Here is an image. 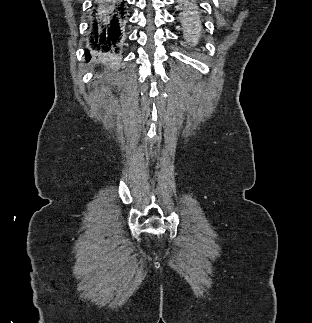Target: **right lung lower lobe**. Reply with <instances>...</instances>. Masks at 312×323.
<instances>
[{
	"label": "right lung lower lobe",
	"instance_id": "98d812e1",
	"mask_svg": "<svg viewBox=\"0 0 312 323\" xmlns=\"http://www.w3.org/2000/svg\"><path fill=\"white\" fill-rule=\"evenodd\" d=\"M125 0H94L89 22L88 47L93 51L117 53L124 41L127 25ZM91 58L89 50L85 52Z\"/></svg>",
	"mask_w": 312,
	"mask_h": 323
}]
</instances>
